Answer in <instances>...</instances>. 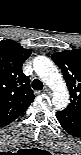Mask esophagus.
<instances>
[{
	"mask_svg": "<svg viewBox=\"0 0 81 155\" xmlns=\"http://www.w3.org/2000/svg\"><path fill=\"white\" fill-rule=\"evenodd\" d=\"M43 91L46 92V93H48V92H49V89H48L47 87H45V88L43 89Z\"/></svg>",
	"mask_w": 81,
	"mask_h": 155,
	"instance_id": "obj_1",
	"label": "esophagus"
}]
</instances>
